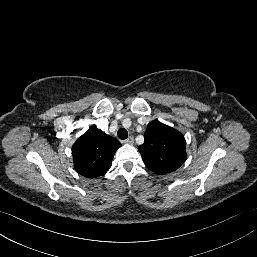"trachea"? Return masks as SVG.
<instances>
[{
  "instance_id": "trachea-1",
  "label": "trachea",
  "mask_w": 257,
  "mask_h": 257,
  "mask_svg": "<svg viewBox=\"0 0 257 257\" xmlns=\"http://www.w3.org/2000/svg\"><path fill=\"white\" fill-rule=\"evenodd\" d=\"M118 137H119L120 139H122V140L127 139V137H128V132H127V130L124 129V128L119 129V130H118Z\"/></svg>"
}]
</instances>
